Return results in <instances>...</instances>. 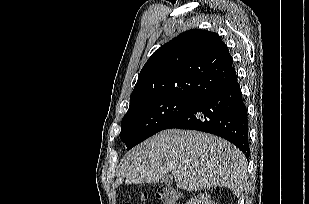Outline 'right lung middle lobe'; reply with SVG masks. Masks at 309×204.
I'll return each instance as SVG.
<instances>
[{
  "mask_svg": "<svg viewBox=\"0 0 309 204\" xmlns=\"http://www.w3.org/2000/svg\"><path fill=\"white\" fill-rule=\"evenodd\" d=\"M199 99L166 96L146 99L129 106L122 119L120 138L127 150L165 129Z\"/></svg>",
  "mask_w": 309,
  "mask_h": 204,
  "instance_id": "obj_1",
  "label": "right lung middle lobe"
}]
</instances>
